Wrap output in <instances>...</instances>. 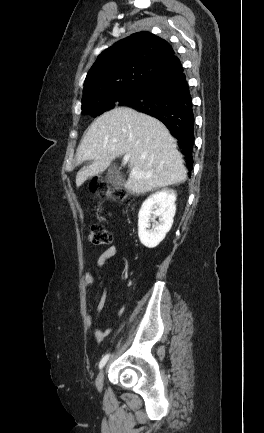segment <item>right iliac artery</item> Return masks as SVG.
I'll use <instances>...</instances> for the list:
<instances>
[{
	"instance_id": "right-iliac-artery-1",
	"label": "right iliac artery",
	"mask_w": 264,
	"mask_h": 433,
	"mask_svg": "<svg viewBox=\"0 0 264 433\" xmlns=\"http://www.w3.org/2000/svg\"><path fill=\"white\" fill-rule=\"evenodd\" d=\"M109 354H107V355H105L102 359H101V361H100V363H99V368L101 369L105 364H106V362L108 361V359H109Z\"/></svg>"
}]
</instances>
